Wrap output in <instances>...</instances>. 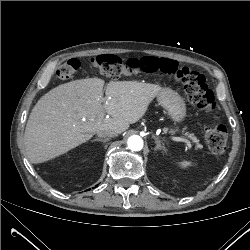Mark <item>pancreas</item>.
I'll return each instance as SVG.
<instances>
[{
    "instance_id": "1",
    "label": "pancreas",
    "mask_w": 250,
    "mask_h": 250,
    "mask_svg": "<svg viewBox=\"0 0 250 250\" xmlns=\"http://www.w3.org/2000/svg\"><path fill=\"white\" fill-rule=\"evenodd\" d=\"M194 143H196V147L200 148L202 145L199 143V139L195 137L193 134H186Z\"/></svg>"
}]
</instances>
